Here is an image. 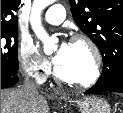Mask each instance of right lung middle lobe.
<instances>
[{"label": "right lung middle lobe", "instance_id": "obj_1", "mask_svg": "<svg viewBox=\"0 0 123 113\" xmlns=\"http://www.w3.org/2000/svg\"><path fill=\"white\" fill-rule=\"evenodd\" d=\"M18 68V31L1 29V74L14 76Z\"/></svg>", "mask_w": 123, "mask_h": 113}]
</instances>
